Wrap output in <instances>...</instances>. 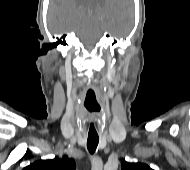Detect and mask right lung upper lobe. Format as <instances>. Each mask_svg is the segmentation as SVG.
I'll return each instance as SVG.
<instances>
[{"label":"right lung upper lobe","instance_id":"obj_1","mask_svg":"<svg viewBox=\"0 0 190 170\" xmlns=\"http://www.w3.org/2000/svg\"><path fill=\"white\" fill-rule=\"evenodd\" d=\"M75 161L72 158L64 156L63 158H54L51 160H39L23 170H74Z\"/></svg>","mask_w":190,"mask_h":170}]
</instances>
